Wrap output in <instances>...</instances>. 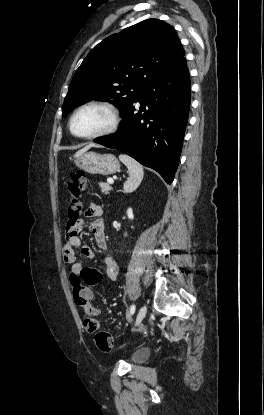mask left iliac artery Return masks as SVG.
<instances>
[{
    "label": "left iliac artery",
    "instance_id": "1",
    "mask_svg": "<svg viewBox=\"0 0 264 415\" xmlns=\"http://www.w3.org/2000/svg\"><path fill=\"white\" fill-rule=\"evenodd\" d=\"M134 312H135V305H131L130 314L132 315V314H134Z\"/></svg>",
    "mask_w": 264,
    "mask_h": 415
}]
</instances>
